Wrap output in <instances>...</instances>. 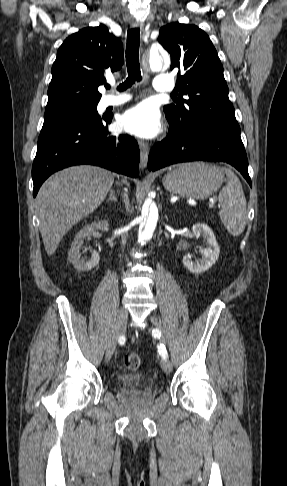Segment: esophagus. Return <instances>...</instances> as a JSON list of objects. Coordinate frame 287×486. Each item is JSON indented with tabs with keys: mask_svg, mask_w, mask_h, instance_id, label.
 <instances>
[{
	"mask_svg": "<svg viewBox=\"0 0 287 486\" xmlns=\"http://www.w3.org/2000/svg\"><path fill=\"white\" fill-rule=\"evenodd\" d=\"M132 27L139 28L142 30L143 23L140 21H133ZM138 145L140 148V166L141 168H146L148 163V156H149V145L142 140H138Z\"/></svg>",
	"mask_w": 287,
	"mask_h": 486,
	"instance_id": "34e87169",
	"label": "esophagus"
}]
</instances>
